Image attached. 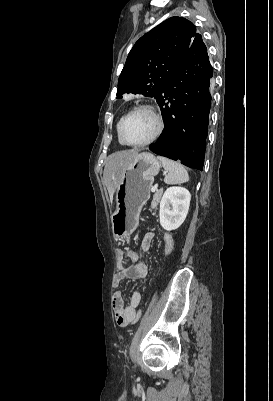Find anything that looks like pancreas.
Segmentation results:
<instances>
[{"mask_svg":"<svg viewBox=\"0 0 273 401\" xmlns=\"http://www.w3.org/2000/svg\"><path fill=\"white\" fill-rule=\"evenodd\" d=\"M161 194H162V188H160V190H157V192H155V194H153V201L151 203V207L152 209H155V207H157L160 198H161Z\"/></svg>","mask_w":273,"mask_h":401,"instance_id":"cf45deb5","label":"pancreas"}]
</instances>
